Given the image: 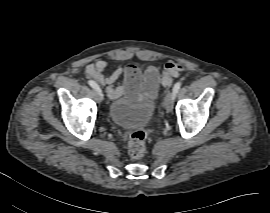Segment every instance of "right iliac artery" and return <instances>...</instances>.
I'll list each match as a JSON object with an SVG mask.
<instances>
[{
	"label": "right iliac artery",
	"mask_w": 270,
	"mask_h": 213,
	"mask_svg": "<svg viewBox=\"0 0 270 213\" xmlns=\"http://www.w3.org/2000/svg\"><path fill=\"white\" fill-rule=\"evenodd\" d=\"M88 84H89L92 88H94V89L99 93V95H100L101 97H103L102 91H101L100 87L98 86V84H97L95 81L89 80V81H88Z\"/></svg>",
	"instance_id": "right-iliac-artery-1"
}]
</instances>
